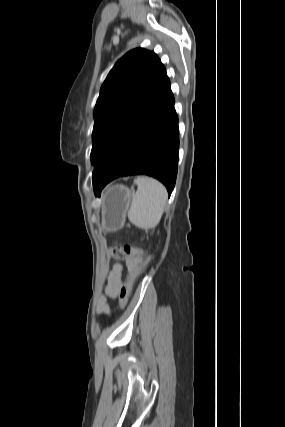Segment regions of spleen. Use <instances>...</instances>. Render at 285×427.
<instances>
[{
  "instance_id": "obj_1",
  "label": "spleen",
  "mask_w": 285,
  "mask_h": 427,
  "mask_svg": "<svg viewBox=\"0 0 285 427\" xmlns=\"http://www.w3.org/2000/svg\"><path fill=\"white\" fill-rule=\"evenodd\" d=\"M135 183L137 191L132 196L128 219L138 228H154L163 215L167 190L159 181L146 176H139Z\"/></svg>"
}]
</instances>
